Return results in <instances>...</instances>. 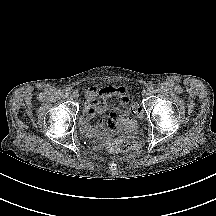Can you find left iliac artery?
I'll use <instances>...</instances> for the list:
<instances>
[{
	"mask_svg": "<svg viewBox=\"0 0 216 216\" xmlns=\"http://www.w3.org/2000/svg\"><path fill=\"white\" fill-rule=\"evenodd\" d=\"M154 88H155L154 85H150V86L148 87V90H149V91H153Z\"/></svg>",
	"mask_w": 216,
	"mask_h": 216,
	"instance_id": "44dca946",
	"label": "left iliac artery"
}]
</instances>
